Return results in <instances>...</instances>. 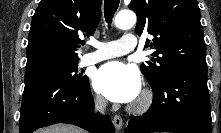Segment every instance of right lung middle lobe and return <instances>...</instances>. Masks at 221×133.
Returning a JSON list of instances; mask_svg holds the SVG:
<instances>
[{"mask_svg":"<svg viewBox=\"0 0 221 133\" xmlns=\"http://www.w3.org/2000/svg\"><path fill=\"white\" fill-rule=\"evenodd\" d=\"M77 64L78 62L69 64H55L47 66L39 71H53L61 76H63L68 81L78 84L88 79L87 76H82V74H77Z\"/></svg>","mask_w":221,"mask_h":133,"instance_id":"right-lung-middle-lobe-1","label":"right lung middle lobe"}]
</instances>
